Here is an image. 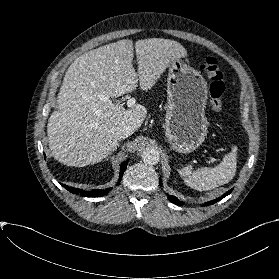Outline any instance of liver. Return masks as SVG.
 Listing matches in <instances>:
<instances>
[{
  "mask_svg": "<svg viewBox=\"0 0 279 279\" xmlns=\"http://www.w3.org/2000/svg\"><path fill=\"white\" fill-rule=\"evenodd\" d=\"M135 52L138 72L133 67V42L128 39L86 52L69 66L57 97L58 109L47 124L49 148L60 163L82 167L106 158L122 129L137 130L147 114L141 104L126 110L112 99L134 91L138 82L148 91L172 60L187 55L180 43L163 38L138 40Z\"/></svg>",
  "mask_w": 279,
  "mask_h": 279,
  "instance_id": "1",
  "label": "liver"
}]
</instances>
